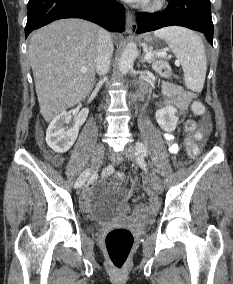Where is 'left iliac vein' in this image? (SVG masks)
Listing matches in <instances>:
<instances>
[{
  "label": "left iliac vein",
  "instance_id": "left-iliac-vein-1",
  "mask_svg": "<svg viewBox=\"0 0 233 284\" xmlns=\"http://www.w3.org/2000/svg\"><path fill=\"white\" fill-rule=\"evenodd\" d=\"M124 154L126 157L132 161H136L139 164H144V159L141 154L138 153L137 149L133 145H127ZM151 187L155 193H161L163 189V184L160 178L156 174L151 176Z\"/></svg>",
  "mask_w": 233,
  "mask_h": 284
}]
</instances>
